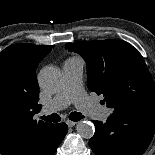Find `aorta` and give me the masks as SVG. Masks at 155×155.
Masks as SVG:
<instances>
[{
	"label": "aorta",
	"mask_w": 155,
	"mask_h": 155,
	"mask_svg": "<svg viewBox=\"0 0 155 155\" xmlns=\"http://www.w3.org/2000/svg\"><path fill=\"white\" fill-rule=\"evenodd\" d=\"M40 86L48 92H56L62 85V73L55 66H45L38 75ZM77 132L86 139L93 137L95 127L90 121H81L77 125Z\"/></svg>",
	"instance_id": "obj_1"
}]
</instances>
